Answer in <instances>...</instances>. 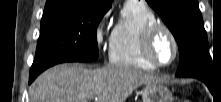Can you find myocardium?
Listing matches in <instances>:
<instances>
[{"instance_id": "1", "label": "myocardium", "mask_w": 221, "mask_h": 102, "mask_svg": "<svg viewBox=\"0 0 221 102\" xmlns=\"http://www.w3.org/2000/svg\"><path fill=\"white\" fill-rule=\"evenodd\" d=\"M161 32H164L169 36V38L171 39V41L173 43V47H174L173 57L167 63L160 62L155 57L154 52H153V46H154L155 39L158 36V34H160ZM141 51H142L144 59L149 64H151L152 66H154L156 68H165V67H169L170 65H172L176 61V59L179 55V43H178V40H177L176 36L174 35V33L167 25L160 23V22H155V23L148 25L142 33Z\"/></svg>"}]
</instances>
